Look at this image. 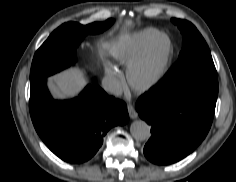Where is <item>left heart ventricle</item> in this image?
Segmentation results:
<instances>
[{
    "label": "left heart ventricle",
    "instance_id": "obj_1",
    "mask_svg": "<svg viewBox=\"0 0 236 182\" xmlns=\"http://www.w3.org/2000/svg\"><path fill=\"white\" fill-rule=\"evenodd\" d=\"M168 48V40L165 38L160 39L156 43L146 63L141 66L140 69L137 71L136 77L141 80H145L152 77L162 66L166 58Z\"/></svg>",
    "mask_w": 236,
    "mask_h": 182
}]
</instances>
